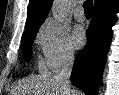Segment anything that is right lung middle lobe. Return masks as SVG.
Returning <instances> with one entry per match:
<instances>
[{
	"mask_svg": "<svg viewBox=\"0 0 119 95\" xmlns=\"http://www.w3.org/2000/svg\"><path fill=\"white\" fill-rule=\"evenodd\" d=\"M39 28L31 30L29 32H26L22 36V50H23V55H24V60L25 61H30L31 56H32V44L33 41L37 35Z\"/></svg>",
	"mask_w": 119,
	"mask_h": 95,
	"instance_id": "1",
	"label": "right lung middle lobe"
}]
</instances>
